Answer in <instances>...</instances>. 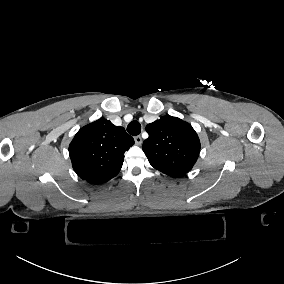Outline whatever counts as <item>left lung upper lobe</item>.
I'll return each mask as SVG.
<instances>
[{"label":"left lung upper lobe","mask_w":284,"mask_h":284,"mask_svg":"<svg viewBox=\"0 0 284 284\" xmlns=\"http://www.w3.org/2000/svg\"><path fill=\"white\" fill-rule=\"evenodd\" d=\"M149 138L142 149L150 164L171 177H181L197 161L200 141L192 126L172 116H163L146 126Z\"/></svg>","instance_id":"left-lung-upper-lobe-1"}]
</instances>
